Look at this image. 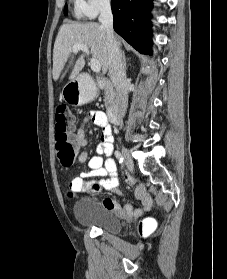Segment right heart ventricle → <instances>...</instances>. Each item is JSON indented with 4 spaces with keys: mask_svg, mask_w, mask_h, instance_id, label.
<instances>
[{
    "mask_svg": "<svg viewBox=\"0 0 227 279\" xmlns=\"http://www.w3.org/2000/svg\"><path fill=\"white\" fill-rule=\"evenodd\" d=\"M75 1H76V12H77V15H81L83 12L81 11V9L79 7L78 0H75Z\"/></svg>",
    "mask_w": 227,
    "mask_h": 279,
    "instance_id": "1",
    "label": "right heart ventricle"
}]
</instances>
